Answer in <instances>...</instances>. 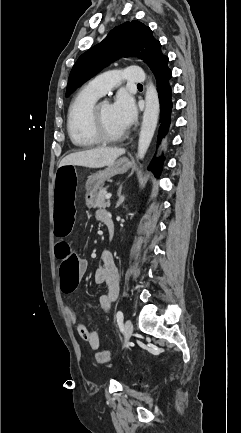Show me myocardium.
<instances>
[{"label":"myocardium","instance_id":"1","mask_svg":"<svg viewBox=\"0 0 241 433\" xmlns=\"http://www.w3.org/2000/svg\"><path fill=\"white\" fill-rule=\"evenodd\" d=\"M105 103L109 104L107 101H101L95 103V105L91 110V116H90L91 132L100 143H116L123 140L126 137L127 133L126 131H124L123 133L116 136H112L106 133L102 125L101 114H100L101 106Z\"/></svg>","mask_w":241,"mask_h":433}]
</instances>
